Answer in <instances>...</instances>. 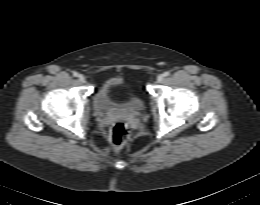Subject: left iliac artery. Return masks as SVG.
<instances>
[{"instance_id": "obj_1", "label": "left iliac artery", "mask_w": 260, "mask_h": 205, "mask_svg": "<svg viewBox=\"0 0 260 205\" xmlns=\"http://www.w3.org/2000/svg\"><path fill=\"white\" fill-rule=\"evenodd\" d=\"M170 73L168 71L164 72V76H169Z\"/></svg>"}]
</instances>
